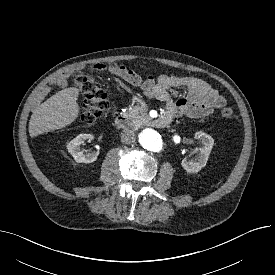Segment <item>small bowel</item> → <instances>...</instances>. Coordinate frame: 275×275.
I'll use <instances>...</instances> for the list:
<instances>
[{"mask_svg":"<svg viewBox=\"0 0 275 275\" xmlns=\"http://www.w3.org/2000/svg\"><path fill=\"white\" fill-rule=\"evenodd\" d=\"M92 70L102 71L107 68L105 64H96ZM130 84L140 87L146 96L163 101L167 105V115L171 118L187 115L193 118L209 116L215 109L225 106V98L207 82L195 77H180L173 75H160L157 79L148 77L142 79L132 70L121 67L114 70ZM69 72H65L54 81V84L63 87ZM182 87L186 95L178 100H173L170 89Z\"/></svg>","mask_w":275,"mask_h":275,"instance_id":"obj_1","label":"small bowel"}]
</instances>
